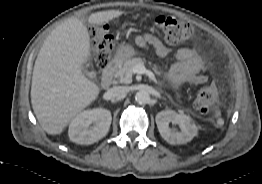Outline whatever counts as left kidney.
<instances>
[{
  "label": "left kidney",
  "instance_id": "obj_1",
  "mask_svg": "<svg viewBox=\"0 0 262 184\" xmlns=\"http://www.w3.org/2000/svg\"><path fill=\"white\" fill-rule=\"evenodd\" d=\"M155 119L160 135L169 144L187 143L198 134L196 124L183 113L178 114L173 110H164L159 112ZM169 123L179 125L181 131L170 129Z\"/></svg>",
  "mask_w": 262,
  "mask_h": 184
}]
</instances>
